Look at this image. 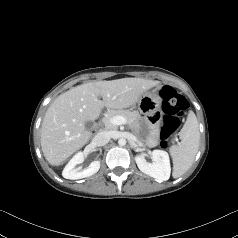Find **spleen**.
Segmentation results:
<instances>
[{"mask_svg": "<svg viewBox=\"0 0 238 238\" xmlns=\"http://www.w3.org/2000/svg\"><path fill=\"white\" fill-rule=\"evenodd\" d=\"M181 143L170 147L173 160V177L182 176L192 165L198 152L200 133L194 112L190 111L180 131Z\"/></svg>", "mask_w": 238, "mask_h": 238, "instance_id": "3e777b00", "label": "spleen"}]
</instances>
